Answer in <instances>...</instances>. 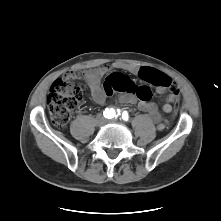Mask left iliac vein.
Listing matches in <instances>:
<instances>
[{
	"label": "left iliac vein",
	"mask_w": 221,
	"mask_h": 221,
	"mask_svg": "<svg viewBox=\"0 0 221 221\" xmlns=\"http://www.w3.org/2000/svg\"><path fill=\"white\" fill-rule=\"evenodd\" d=\"M112 122H117V120H116V119H114V120H112Z\"/></svg>",
	"instance_id": "1"
}]
</instances>
